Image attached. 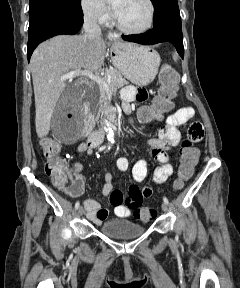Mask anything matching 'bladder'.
<instances>
[{
  "mask_svg": "<svg viewBox=\"0 0 240 288\" xmlns=\"http://www.w3.org/2000/svg\"><path fill=\"white\" fill-rule=\"evenodd\" d=\"M102 234L114 239H131L145 232L144 226L127 219H115L106 222L100 228Z\"/></svg>",
  "mask_w": 240,
  "mask_h": 288,
  "instance_id": "1",
  "label": "bladder"
}]
</instances>
